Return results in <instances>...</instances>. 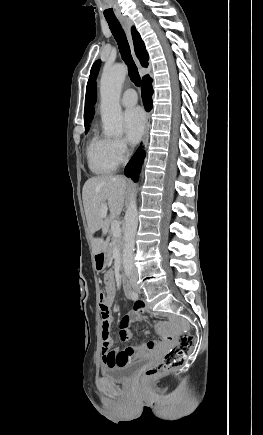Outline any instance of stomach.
I'll return each instance as SVG.
<instances>
[{
    "mask_svg": "<svg viewBox=\"0 0 263 435\" xmlns=\"http://www.w3.org/2000/svg\"><path fill=\"white\" fill-rule=\"evenodd\" d=\"M109 262V254L101 252L95 255V266L99 271H102Z\"/></svg>",
    "mask_w": 263,
    "mask_h": 435,
    "instance_id": "stomach-1",
    "label": "stomach"
}]
</instances>
